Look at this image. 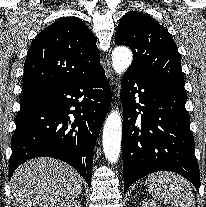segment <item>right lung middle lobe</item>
Here are the masks:
<instances>
[{"instance_id": "right-lung-middle-lobe-1", "label": "right lung middle lobe", "mask_w": 206, "mask_h": 207, "mask_svg": "<svg viewBox=\"0 0 206 207\" xmlns=\"http://www.w3.org/2000/svg\"><path fill=\"white\" fill-rule=\"evenodd\" d=\"M29 102V99H27L26 97H22L20 98V106H23L25 104H27Z\"/></svg>"}]
</instances>
